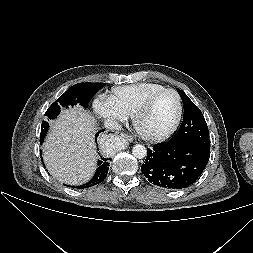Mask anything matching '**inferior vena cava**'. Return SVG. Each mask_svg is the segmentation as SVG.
I'll return each mask as SVG.
<instances>
[{
  "label": "inferior vena cava",
  "instance_id": "602c4592",
  "mask_svg": "<svg viewBox=\"0 0 253 253\" xmlns=\"http://www.w3.org/2000/svg\"><path fill=\"white\" fill-rule=\"evenodd\" d=\"M104 126H105V128H107L109 130H121V125L114 118H108L104 122Z\"/></svg>",
  "mask_w": 253,
  "mask_h": 253
}]
</instances>
